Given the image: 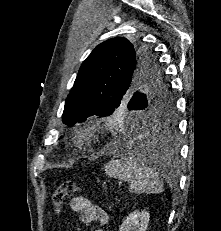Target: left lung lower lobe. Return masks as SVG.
Wrapping results in <instances>:
<instances>
[{
	"instance_id": "left-lung-lower-lobe-1",
	"label": "left lung lower lobe",
	"mask_w": 221,
	"mask_h": 231,
	"mask_svg": "<svg viewBox=\"0 0 221 231\" xmlns=\"http://www.w3.org/2000/svg\"><path fill=\"white\" fill-rule=\"evenodd\" d=\"M116 142L123 149L132 146L137 152H143L141 158L145 164L164 168L166 158H173L177 152L175 122L163 123L151 118L125 130Z\"/></svg>"
}]
</instances>
